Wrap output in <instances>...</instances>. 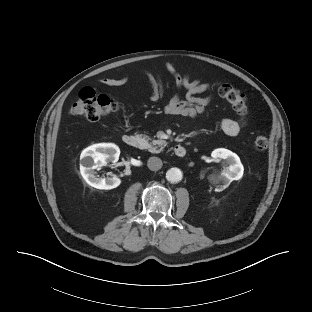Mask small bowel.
<instances>
[{"label": "small bowel", "instance_id": "c3829d8e", "mask_svg": "<svg viewBox=\"0 0 312 312\" xmlns=\"http://www.w3.org/2000/svg\"><path fill=\"white\" fill-rule=\"evenodd\" d=\"M168 70L174 75L176 80L177 92L170 99L168 104L165 106V113L174 116H183L189 118H195L203 115L207 108L212 103V97H197L196 94L207 91L208 86L200 83L198 80L190 81L188 76L181 77L172 66H168ZM148 80L152 86V99L158 100L163 93L162 84L157 74L146 73ZM127 76L121 78H102L100 82L108 86H121L127 82ZM186 90L185 99L181 98V91ZM245 120L224 118L221 121V128L228 136H236L239 134Z\"/></svg>", "mask_w": 312, "mask_h": 312}]
</instances>
